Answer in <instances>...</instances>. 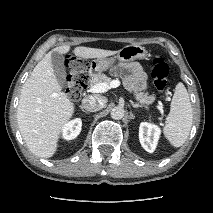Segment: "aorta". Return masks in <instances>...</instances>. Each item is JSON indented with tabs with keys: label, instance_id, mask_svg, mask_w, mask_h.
Instances as JSON below:
<instances>
[{
	"label": "aorta",
	"instance_id": "1",
	"mask_svg": "<svg viewBox=\"0 0 213 213\" xmlns=\"http://www.w3.org/2000/svg\"><path fill=\"white\" fill-rule=\"evenodd\" d=\"M125 110L123 107L116 106L111 110V118L114 120H120L124 117Z\"/></svg>",
	"mask_w": 213,
	"mask_h": 213
}]
</instances>
